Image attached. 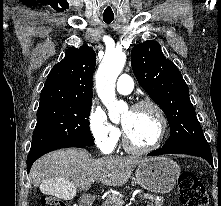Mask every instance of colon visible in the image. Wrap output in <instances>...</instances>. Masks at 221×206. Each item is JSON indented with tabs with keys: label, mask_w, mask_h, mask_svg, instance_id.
Wrapping results in <instances>:
<instances>
[{
	"label": "colon",
	"mask_w": 221,
	"mask_h": 206,
	"mask_svg": "<svg viewBox=\"0 0 221 206\" xmlns=\"http://www.w3.org/2000/svg\"><path fill=\"white\" fill-rule=\"evenodd\" d=\"M180 198L183 206H210L209 196L202 181L193 172H182L178 180ZM41 206H66L58 198L45 195L41 198Z\"/></svg>",
	"instance_id": "obj_1"
}]
</instances>
